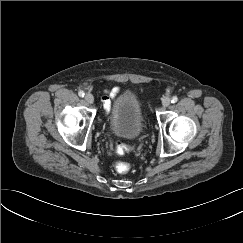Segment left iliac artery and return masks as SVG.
<instances>
[{
  "label": "left iliac artery",
  "instance_id": "44dca946",
  "mask_svg": "<svg viewBox=\"0 0 243 243\" xmlns=\"http://www.w3.org/2000/svg\"><path fill=\"white\" fill-rule=\"evenodd\" d=\"M177 101H178L177 96H173L172 99H171V102L172 103H176Z\"/></svg>",
  "mask_w": 243,
  "mask_h": 243
}]
</instances>
